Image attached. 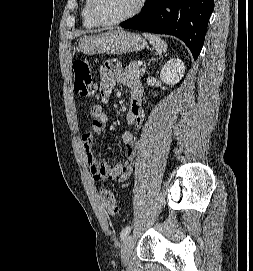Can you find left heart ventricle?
<instances>
[{
    "label": "left heart ventricle",
    "instance_id": "b2bd125f",
    "mask_svg": "<svg viewBox=\"0 0 253 271\" xmlns=\"http://www.w3.org/2000/svg\"><path fill=\"white\" fill-rule=\"evenodd\" d=\"M138 0H97L96 10L104 21H113L128 14Z\"/></svg>",
    "mask_w": 253,
    "mask_h": 271
}]
</instances>
